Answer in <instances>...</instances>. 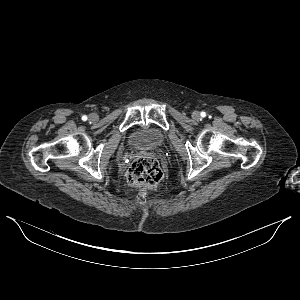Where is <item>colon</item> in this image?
Here are the masks:
<instances>
[{
    "label": "colon",
    "instance_id": "colon-1",
    "mask_svg": "<svg viewBox=\"0 0 300 300\" xmlns=\"http://www.w3.org/2000/svg\"><path fill=\"white\" fill-rule=\"evenodd\" d=\"M128 183L138 189L149 190L157 186L162 178L158 161L152 156L136 158L127 171Z\"/></svg>",
    "mask_w": 300,
    "mask_h": 300
}]
</instances>
